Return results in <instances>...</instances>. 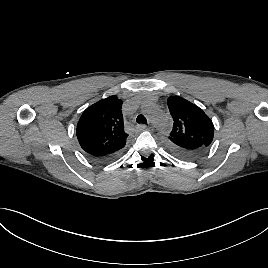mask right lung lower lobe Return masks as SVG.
Here are the masks:
<instances>
[{"label":"right lung lower lobe","mask_w":268,"mask_h":268,"mask_svg":"<svg viewBox=\"0 0 268 268\" xmlns=\"http://www.w3.org/2000/svg\"><path fill=\"white\" fill-rule=\"evenodd\" d=\"M118 153L119 152H116L114 154L105 155V156H91V155L90 156L92 158H94L95 160H97V161L107 162V161H110V160L114 159L117 156Z\"/></svg>","instance_id":"obj_1"}]
</instances>
